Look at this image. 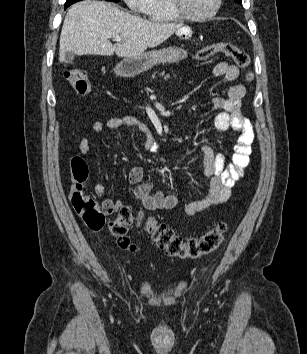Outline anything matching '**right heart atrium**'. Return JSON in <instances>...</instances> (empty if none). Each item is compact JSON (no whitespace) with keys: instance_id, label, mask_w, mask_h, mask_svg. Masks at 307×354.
Returning <instances> with one entry per match:
<instances>
[{"instance_id":"d8ad5b80","label":"right heart atrium","mask_w":307,"mask_h":354,"mask_svg":"<svg viewBox=\"0 0 307 354\" xmlns=\"http://www.w3.org/2000/svg\"><path fill=\"white\" fill-rule=\"evenodd\" d=\"M126 5L133 11L145 13L150 0H124Z\"/></svg>"}]
</instances>
